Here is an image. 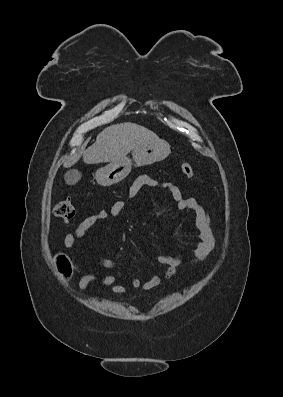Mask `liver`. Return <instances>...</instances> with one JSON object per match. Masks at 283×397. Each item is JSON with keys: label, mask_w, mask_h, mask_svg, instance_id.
I'll use <instances>...</instances> for the list:
<instances>
[{"label": "liver", "mask_w": 283, "mask_h": 397, "mask_svg": "<svg viewBox=\"0 0 283 397\" xmlns=\"http://www.w3.org/2000/svg\"><path fill=\"white\" fill-rule=\"evenodd\" d=\"M156 140L159 137L154 132L138 124L126 122L112 125L97 135L93 145L77 152L68 166L74 165L81 156L86 164L121 160L139 144Z\"/></svg>", "instance_id": "1"}]
</instances>
